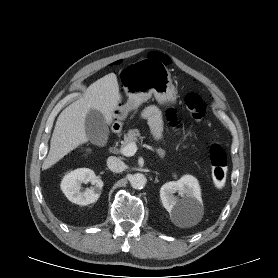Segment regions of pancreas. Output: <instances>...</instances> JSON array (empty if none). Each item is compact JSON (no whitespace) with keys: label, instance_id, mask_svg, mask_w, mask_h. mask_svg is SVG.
<instances>
[{"label":"pancreas","instance_id":"obj_1","mask_svg":"<svg viewBox=\"0 0 278 278\" xmlns=\"http://www.w3.org/2000/svg\"><path fill=\"white\" fill-rule=\"evenodd\" d=\"M143 137L140 135L138 129H131L127 134L124 135V141L122 142V148L130 143H136L139 140H142ZM157 154L161 158L165 156V151L161 148L157 149Z\"/></svg>","mask_w":278,"mask_h":278}]
</instances>
